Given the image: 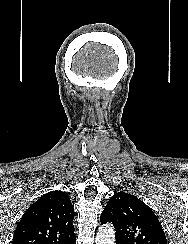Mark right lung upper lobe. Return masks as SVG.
<instances>
[{
	"mask_svg": "<svg viewBox=\"0 0 188 244\" xmlns=\"http://www.w3.org/2000/svg\"><path fill=\"white\" fill-rule=\"evenodd\" d=\"M74 208L63 191H51L33 203L17 225L12 244H70Z\"/></svg>",
	"mask_w": 188,
	"mask_h": 244,
	"instance_id": "cb5924a9",
	"label": "right lung upper lobe"
}]
</instances>
